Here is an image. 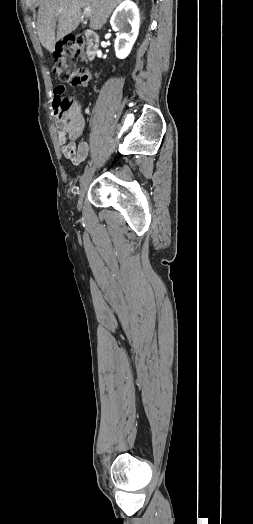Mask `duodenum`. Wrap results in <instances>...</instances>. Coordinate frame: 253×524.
Listing matches in <instances>:
<instances>
[{
  "label": "duodenum",
  "mask_w": 253,
  "mask_h": 524,
  "mask_svg": "<svg viewBox=\"0 0 253 524\" xmlns=\"http://www.w3.org/2000/svg\"><path fill=\"white\" fill-rule=\"evenodd\" d=\"M87 40V51L86 56L89 60L93 59L98 51L99 47V36L92 30H86L84 32Z\"/></svg>",
  "instance_id": "1"
}]
</instances>
